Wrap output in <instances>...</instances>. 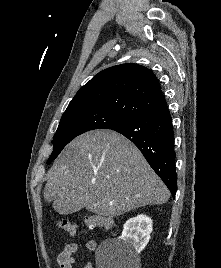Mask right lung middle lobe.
I'll list each match as a JSON object with an SVG mask.
<instances>
[{
  "label": "right lung middle lobe",
  "mask_w": 221,
  "mask_h": 268,
  "mask_svg": "<svg viewBox=\"0 0 221 268\" xmlns=\"http://www.w3.org/2000/svg\"><path fill=\"white\" fill-rule=\"evenodd\" d=\"M127 119L104 109H89L64 113L53 137V152L47 164L51 163L62 149L78 135L93 129H109Z\"/></svg>",
  "instance_id": "right-lung-middle-lobe-1"
}]
</instances>
